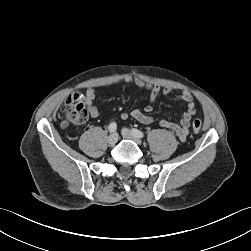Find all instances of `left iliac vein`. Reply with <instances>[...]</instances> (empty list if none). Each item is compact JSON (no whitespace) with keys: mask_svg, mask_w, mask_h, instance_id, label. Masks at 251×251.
<instances>
[{"mask_svg":"<svg viewBox=\"0 0 251 251\" xmlns=\"http://www.w3.org/2000/svg\"><path fill=\"white\" fill-rule=\"evenodd\" d=\"M121 134L124 138L129 139L137 143L138 145H141L142 141L140 137L136 136L131 130L128 128H123L121 131Z\"/></svg>","mask_w":251,"mask_h":251,"instance_id":"obj_1","label":"left iliac vein"}]
</instances>
